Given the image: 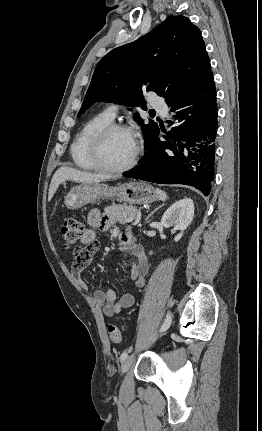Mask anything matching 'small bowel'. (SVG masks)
I'll list each match as a JSON object with an SVG mask.
<instances>
[{"label": "small bowel", "instance_id": "small-bowel-1", "mask_svg": "<svg viewBox=\"0 0 262 431\" xmlns=\"http://www.w3.org/2000/svg\"><path fill=\"white\" fill-rule=\"evenodd\" d=\"M87 222L89 228L81 237V243L87 247L72 259L71 274L77 285L83 290H88L90 287L82 278L81 273L91 263L93 256L99 250V244L96 241V230L99 229L102 231L111 230L112 233L120 236L123 241L122 246L130 252L127 263L130 267L131 279L136 287H142L148 271V262L144 248L137 241L132 227L129 225L124 227L112 226L111 221L99 209L90 211ZM95 298L106 317H111L134 304L132 294L125 293L118 298L113 288H109L106 292H96Z\"/></svg>", "mask_w": 262, "mask_h": 431}]
</instances>
